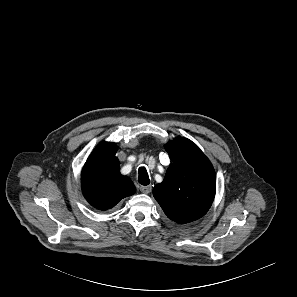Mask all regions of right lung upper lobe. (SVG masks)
I'll use <instances>...</instances> for the list:
<instances>
[{"mask_svg": "<svg viewBox=\"0 0 297 297\" xmlns=\"http://www.w3.org/2000/svg\"><path fill=\"white\" fill-rule=\"evenodd\" d=\"M116 151L115 143L99 144L88 157L81 173L83 195L99 210L114 207L136 191L130 178L121 175Z\"/></svg>", "mask_w": 297, "mask_h": 297, "instance_id": "right-lung-upper-lobe-1", "label": "right lung upper lobe"}]
</instances>
